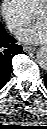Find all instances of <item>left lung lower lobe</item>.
<instances>
[{"label":"left lung lower lobe","instance_id":"1","mask_svg":"<svg viewBox=\"0 0 47 129\" xmlns=\"http://www.w3.org/2000/svg\"><path fill=\"white\" fill-rule=\"evenodd\" d=\"M45 84L47 86V74L44 75Z\"/></svg>","mask_w":47,"mask_h":129}]
</instances>
